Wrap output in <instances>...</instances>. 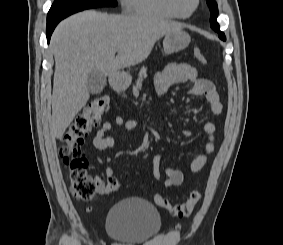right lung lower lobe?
Returning a JSON list of instances; mask_svg holds the SVG:
<instances>
[{
	"instance_id": "98d812e1",
	"label": "right lung lower lobe",
	"mask_w": 283,
	"mask_h": 245,
	"mask_svg": "<svg viewBox=\"0 0 283 245\" xmlns=\"http://www.w3.org/2000/svg\"><path fill=\"white\" fill-rule=\"evenodd\" d=\"M61 20H56L52 22H47V30H46V35H47V41L49 43L51 34L56 27V25L60 22Z\"/></svg>"
}]
</instances>
